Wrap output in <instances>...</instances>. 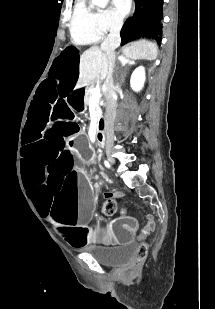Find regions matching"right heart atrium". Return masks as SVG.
<instances>
[{"mask_svg":"<svg viewBox=\"0 0 215 309\" xmlns=\"http://www.w3.org/2000/svg\"><path fill=\"white\" fill-rule=\"evenodd\" d=\"M96 20L100 29H107L112 32H116L120 29L122 25V20L109 9L101 11V14L96 15Z\"/></svg>","mask_w":215,"mask_h":309,"instance_id":"1","label":"right heart atrium"}]
</instances>
